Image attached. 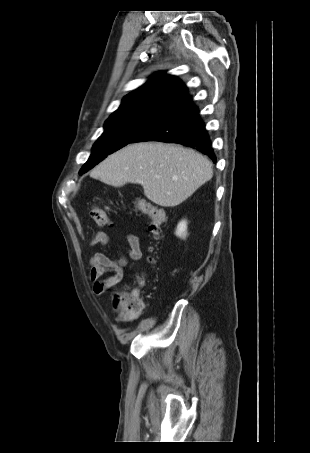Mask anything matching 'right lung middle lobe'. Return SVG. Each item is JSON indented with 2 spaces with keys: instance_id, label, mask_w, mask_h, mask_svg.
Wrapping results in <instances>:
<instances>
[{
  "instance_id": "obj_1",
  "label": "right lung middle lobe",
  "mask_w": 310,
  "mask_h": 453,
  "mask_svg": "<svg viewBox=\"0 0 310 453\" xmlns=\"http://www.w3.org/2000/svg\"><path fill=\"white\" fill-rule=\"evenodd\" d=\"M158 117L145 115L111 116L104 125V132L95 142L88 161L80 174L93 168L107 155L137 139Z\"/></svg>"
}]
</instances>
